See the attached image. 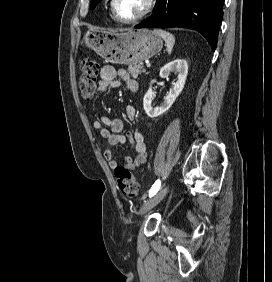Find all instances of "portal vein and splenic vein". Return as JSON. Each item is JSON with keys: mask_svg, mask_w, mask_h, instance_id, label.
I'll return each instance as SVG.
<instances>
[{"mask_svg": "<svg viewBox=\"0 0 272 282\" xmlns=\"http://www.w3.org/2000/svg\"><path fill=\"white\" fill-rule=\"evenodd\" d=\"M146 66H147V68H150V67H151V64H150V63H147Z\"/></svg>", "mask_w": 272, "mask_h": 282, "instance_id": "18ae733b", "label": "portal vein and splenic vein"}]
</instances>
